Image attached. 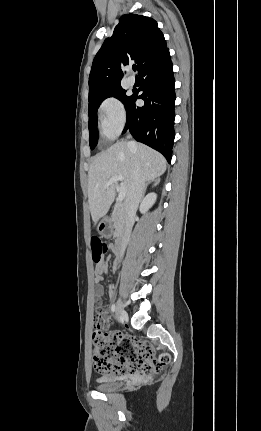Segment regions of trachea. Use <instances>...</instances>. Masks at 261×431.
<instances>
[{
    "label": "trachea",
    "mask_w": 261,
    "mask_h": 431,
    "mask_svg": "<svg viewBox=\"0 0 261 431\" xmlns=\"http://www.w3.org/2000/svg\"><path fill=\"white\" fill-rule=\"evenodd\" d=\"M133 70L136 71V66H133Z\"/></svg>",
    "instance_id": "trachea-1"
}]
</instances>
